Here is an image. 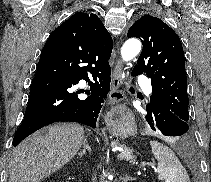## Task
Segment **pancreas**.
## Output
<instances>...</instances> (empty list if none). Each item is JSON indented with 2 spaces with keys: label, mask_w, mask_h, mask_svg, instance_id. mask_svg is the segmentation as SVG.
Wrapping results in <instances>:
<instances>
[{
  "label": "pancreas",
  "mask_w": 211,
  "mask_h": 182,
  "mask_svg": "<svg viewBox=\"0 0 211 182\" xmlns=\"http://www.w3.org/2000/svg\"><path fill=\"white\" fill-rule=\"evenodd\" d=\"M124 151L120 152L118 154V158L119 159H126V160H130L131 162H135L136 158L132 155V150L124 147Z\"/></svg>",
  "instance_id": "obj_1"
}]
</instances>
